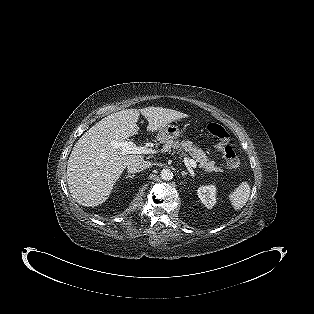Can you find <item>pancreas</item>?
Wrapping results in <instances>:
<instances>
[{
    "instance_id": "1",
    "label": "pancreas",
    "mask_w": 314,
    "mask_h": 314,
    "mask_svg": "<svg viewBox=\"0 0 314 314\" xmlns=\"http://www.w3.org/2000/svg\"><path fill=\"white\" fill-rule=\"evenodd\" d=\"M163 152H172V154H179L184 156L185 153H188L196 162L199 163V168L203 169L206 172H218L221 170L220 167L215 165V161L210 160L206 153L194 145L191 141H182L177 142L174 140H166L163 142Z\"/></svg>"
}]
</instances>
